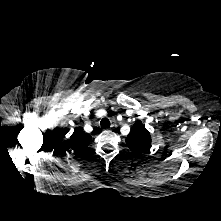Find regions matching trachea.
<instances>
[{"instance_id":"3493384b","label":"trachea","mask_w":221,"mask_h":221,"mask_svg":"<svg viewBox=\"0 0 221 221\" xmlns=\"http://www.w3.org/2000/svg\"><path fill=\"white\" fill-rule=\"evenodd\" d=\"M100 125L102 128H109L110 127V121L107 118H103L100 122Z\"/></svg>"}]
</instances>
